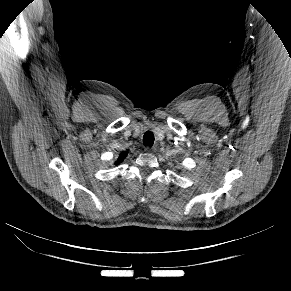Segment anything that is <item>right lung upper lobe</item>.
Segmentation results:
<instances>
[{
  "label": "right lung upper lobe",
  "instance_id": "cb5924a9",
  "mask_svg": "<svg viewBox=\"0 0 291 291\" xmlns=\"http://www.w3.org/2000/svg\"><path fill=\"white\" fill-rule=\"evenodd\" d=\"M127 156V151H124L120 154L118 161L116 162V164H119L120 162H122L124 160V158Z\"/></svg>",
  "mask_w": 291,
  "mask_h": 291
}]
</instances>
